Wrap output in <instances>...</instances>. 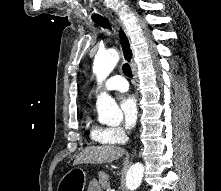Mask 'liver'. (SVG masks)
Returning <instances> with one entry per match:
<instances>
[{
	"label": "liver",
	"mask_w": 221,
	"mask_h": 191,
	"mask_svg": "<svg viewBox=\"0 0 221 191\" xmlns=\"http://www.w3.org/2000/svg\"><path fill=\"white\" fill-rule=\"evenodd\" d=\"M124 154L125 150L116 146L88 147L78 154L73 165L109 163Z\"/></svg>",
	"instance_id": "obj_1"
}]
</instances>
